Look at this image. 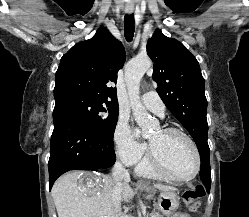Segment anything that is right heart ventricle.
Instances as JSON below:
<instances>
[{"label": "right heart ventricle", "mask_w": 249, "mask_h": 217, "mask_svg": "<svg viewBox=\"0 0 249 217\" xmlns=\"http://www.w3.org/2000/svg\"><path fill=\"white\" fill-rule=\"evenodd\" d=\"M136 172L140 175L149 177V178H155L160 179L162 178L159 174H157L152 167L150 166L147 157H144L140 159L136 166Z\"/></svg>", "instance_id": "right-heart-ventricle-1"}]
</instances>
